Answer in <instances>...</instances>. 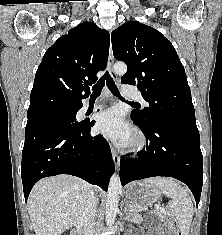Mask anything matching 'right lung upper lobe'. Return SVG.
I'll return each instance as SVG.
<instances>
[{
  "label": "right lung upper lobe",
  "mask_w": 222,
  "mask_h": 235,
  "mask_svg": "<svg viewBox=\"0 0 222 235\" xmlns=\"http://www.w3.org/2000/svg\"><path fill=\"white\" fill-rule=\"evenodd\" d=\"M109 33L83 22L46 51L35 75L28 119L48 116L86 98L96 73L106 67Z\"/></svg>",
  "instance_id": "cb5924a9"
}]
</instances>
